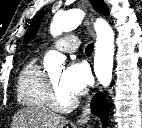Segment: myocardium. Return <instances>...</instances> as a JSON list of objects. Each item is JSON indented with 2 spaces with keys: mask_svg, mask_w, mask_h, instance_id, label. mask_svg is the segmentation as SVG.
<instances>
[{
  "mask_svg": "<svg viewBox=\"0 0 142 128\" xmlns=\"http://www.w3.org/2000/svg\"><path fill=\"white\" fill-rule=\"evenodd\" d=\"M48 89H49V103L53 109L65 112L71 110L75 106L76 100L73 97L69 98L66 102H62L60 100L58 89L56 88L50 77H48Z\"/></svg>",
  "mask_w": 142,
  "mask_h": 128,
  "instance_id": "myocardium-1",
  "label": "myocardium"
}]
</instances>
